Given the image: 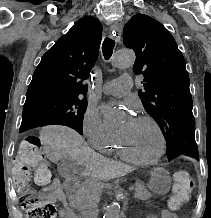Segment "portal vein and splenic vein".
I'll use <instances>...</instances> for the list:
<instances>
[{
  "label": "portal vein and splenic vein",
  "instance_id": "portal-vein-and-splenic-vein-1",
  "mask_svg": "<svg viewBox=\"0 0 211 218\" xmlns=\"http://www.w3.org/2000/svg\"><path fill=\"white\" fill-rule=\"evenodd\" d=\"M133 189V186H129V190L131 191Z\"/></svg>",
  "mask_w": 211,
  "mask_h": 218
}]
</instances>
